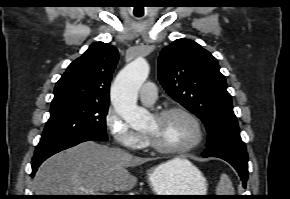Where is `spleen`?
<instances>
[{"label": "spleen", "mask_w": 290, "mask_h": 199, "mask_svg": "<svg viewBox=\"0 0 290 199\" xmlns=\"http://www.w3.org/2000/svg\"><path fill=\"white\" fill-rule=\"evenodd\" d=\"M217 195H234V188L230 178L226 174H222L220 181L216 187Z\"/></svg>", "instance_id": "3e777b00"}]
</instances>
